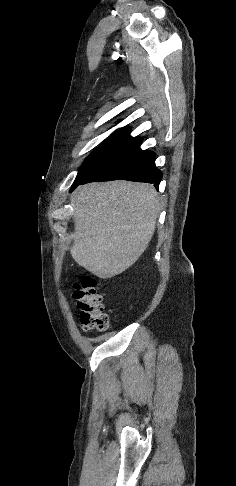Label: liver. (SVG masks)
Returning <instances> with one entry per match:
<instances>
[{
	"label": "liver",
	"mask_w": 236,
	"mask_h": 486,
	"mask_svg": "<svg viewBox=\"0 0 236 486\" xmlns=\"http://www.w3.org/2000/svg\"><path fill=\"white\" fill-rule=\"evenodd\" d=\"M73 259L101 279L121 274L146 250L160 212L153 185L113 181L80 186L72 197Z\"/></svg>",
	"instance_id": "liver-1"
}]
</instances>
